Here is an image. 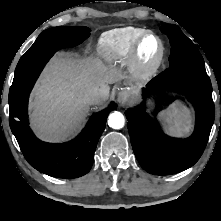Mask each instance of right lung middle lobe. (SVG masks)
I'll return each instance as SVG.
<instances>
[{
  "mask_svg": "<svg viewBox=\"0 0 221 221\" xmlns=\"http://www.w3.org/2000/svg\"><path fill=\"white\" fill-rule=\"evenodd\" d=\"M89 36L90 29L84 26H59L43 31L18 62L9 91V104L30 93L44 65L57 50L76 46Z\"/></svg>",
  "mask_w": 221,
  "mask_h": 221,
  "instance_id": "right-lung-middle-lobe-1",
  "label": "right lung middle lobe"
}]
</instances>
